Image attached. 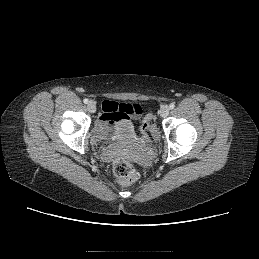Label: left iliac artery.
I'll return each instance as SVG.
<instances>
[{
    "label": "left iliac artery",
    "mask_w": 259,
    "mask_h": 259,
    "mask_svg": "<svg viewBox=\"0 0 259 259\" xmlns=\"http://www.w3.org/2000/svg\"><path fill=\"white\" fill-rule=\"evenodd\" d=\"M169 107H170V109H174L175 104H174V103H171Z\"/></svg>",
    "instance_id": "1"
}]
</instances>
